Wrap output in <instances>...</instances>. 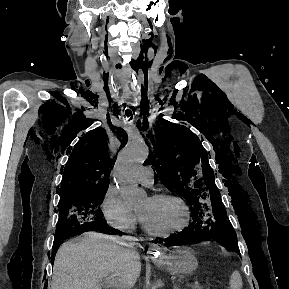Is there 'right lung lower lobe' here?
Returning <instances> with one entry per match:
<instances>
[{"label":"right lung lower lobe","mask_w":289,"mask_h":289,"mask_svg":"<svg viewBox=\"0 0 289 289\" xmlns=\"http://www.w3.org/2000/svg\"><path fill=\"white\" fill-rule=\"evenodd\" d=\"M86 231H99V232L105 233V234H119V235H121L120 231H118L112 227H109L106 223H104L101 225L89 226L86 228H82V229L73 231L66 236H62V237L55 236V240H54V244H53V250H52V254H53L52 261H54L56 251H57L60 243L63 240H65L69 236L80 235L81 233L86 232Z\"/></svg>","instance_id":"right-lung-lower-lobe-1"}]
</instances>
